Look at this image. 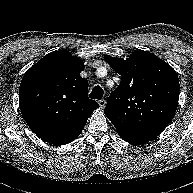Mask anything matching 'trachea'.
<instances>
[{"label": "trachea", "mask_w": 193, "mask_h": 193, "mask_svg": "<svg viewBox=\"0 0 193 193\" xmlns=\"http://www.w3.org/2000/svg\"><path fill=\"white\" fill-rule=\"evenodd\" d=\"M103 94V89L100 86H95L89 96L91 99L100 100L102 99Z\"/></svg>", "instance_id": "obj_1"}]
</instances>
